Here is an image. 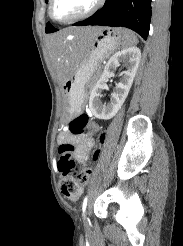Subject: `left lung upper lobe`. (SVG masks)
<instances>
[{"mask_svg":"<svg viewBox=\"0 0 183 246\" xmlns=\"http://www.w3.org/2000/svg\"><path fill=\"white\" fill-rule=\"evenodd\" d=\"M45 1H46V3L48 2V0H45ZM45 31H46V33H50V32L57 31V29L54 28L50 23H47Z\"/></svg>","mask_w":183,"mask_h":246,"instance_id":"1","label":"left lung upper lobe"}]
</instances>
